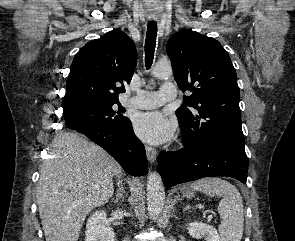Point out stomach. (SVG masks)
I'll list each match as a JSON object with an SVG mask.
<instances>
[{"mask_svg": "<svg viewBox=\"0 0 295 241\" xmlns=\"http://www.w3.org/2000/svg\"><path fill=\"white\" fill-rule=\"evenodd\" d=\"M183 196L186 198H191L194 196V190H191L190 188L186 187L182 190Z\"/></svg>", "mask_w": 295, "mask_h": 241, "instance_id": "stomach-1", "label": "stomach"}]
</instances>
